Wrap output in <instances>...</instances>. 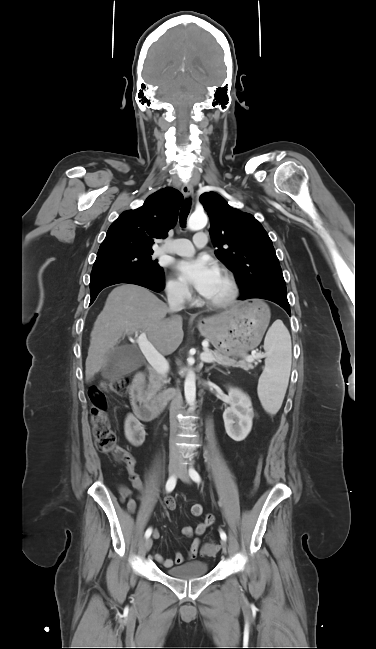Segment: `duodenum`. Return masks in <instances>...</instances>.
I'll use <instances>...</instances> for the list:
<instances>
[{"mask_svg":"<svg viewBox=\"0 0 376 649\" xmlns=\"http://www.w3.org/2000/svg\"><path fill=\"white\" fill-rule=\"evenodd\" d=\"M144 384L145 374L137 372L129 389V397L134 414L142 420H150L156 417L169 401L176 399L178 392H165L155 399L147 401L143 394Z\"/></svg>","mask_w":376,"mask_h":649,"instance_id":"410a0bca","label":"duodenum"}]
</instances>
